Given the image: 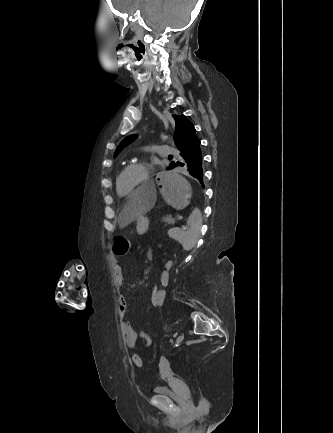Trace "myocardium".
<instances>
[{
  "mask_svg": "<svg viewBox=\"0 0 333 433\" xmlns=\"http://www.w3.org/2000/svg\"><path fill=\"white\" fill-rule=\"evenodd\" d=\"M132 169H140L142 171V176H141L140 180L132 188V190H130L129 192L126 193V196H130L131 194H133L138 188L145 185L149 179L150 165L148 163H146V162L131 163V164L127 165L120 172V174L117 176V178H116V189L117 190L120 189L119 184H120V179L122 178V176Z\"/></svg>",
  "mask_w": 333,
  "mask_h": 433,
  "instance_id": "obj_1",
  "label": "myocardium"
}]
</instances>
